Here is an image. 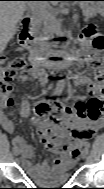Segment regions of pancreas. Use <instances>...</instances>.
<instances>
[{
    "label": "pancreas",
    "instance_id": "cf45deb5",
    "mask_svg": "<svg viewBox=\"0 0 104 189\" xmlns=\"http://www.w3.org/2000/svg\"><path fill=\"white\" fill-rule=\"evenodd\" d=\"M84 14L86 18H90L94 14V11L90 7H86L84 9ZM43 24V32L37 39L39 43H43L46 37L50 38L52 37V35H61V24L59 22L51 19H46L44 20Z\"/></svg>",
    "mask_w": 104,
    "mask_h": 189
}]
</instances>
